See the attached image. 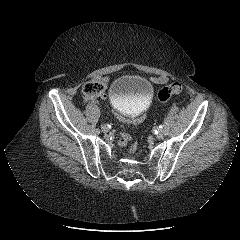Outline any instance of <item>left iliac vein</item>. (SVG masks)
<instances>
[{
    "label": "left iliac vein",
    "instance_id": "obj_1",
    "mask_svg": "<svg viewBox=\"0 0 240 240\" xmlns=\"http://www.w3.org/2000/svg\"><path fill=\"white\" fill-rule=\"evenodd\" d=\"M167 134H168V129H167L166 132H163L162 129H160L156 137H157L158 139H162V138H164Z\"/></svg>",
    "mask_w": 240,
    "mask_h": 240
}]
</instances>
